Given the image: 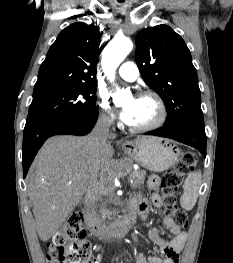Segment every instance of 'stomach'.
<instances>
[{"instance_id": "obj_1", "label": "stomach", "mask_w": 233, "mask_h": 263, "mask_svg": "<svg viewBox=\"0 0 233 263\" xmlns=\"http://www.w3.org/2000/svg\"><path fill=\"white\" fill-rule=\"evenodd\" d=\"M124 152L144 168L163 172L178 160L180 150L171 141L152 136L137 137L123 146Z\"/></svg>"}]
</instances>
